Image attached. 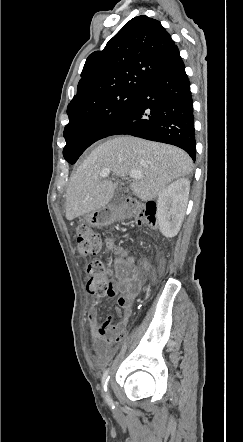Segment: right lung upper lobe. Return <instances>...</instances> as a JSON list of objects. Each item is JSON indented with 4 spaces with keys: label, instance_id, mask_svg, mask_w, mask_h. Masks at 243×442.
<instances>
[{
    "label": "right lung upper lobe",
    "instance_id": "cb5924a9",
    "mask_svg": "<svg viewBox=\"0 0 243 442\" xmlns=\"http://www.w3.org/2000/svg\"><path fill=\"white\" fill-rule=\"evenodd\" d=\"M178 53V47L158 20L145 15L134 17L102 51L89 55L67 114L118 92L139 91L156 70Z\"/></svg>",
    "mask_w": 243,
    "mask_h": 442
}]
</instances>
